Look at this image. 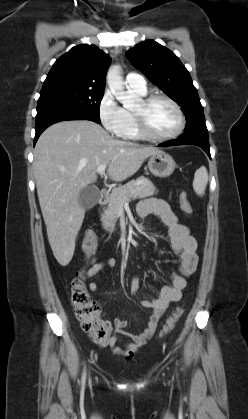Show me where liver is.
<instances>
[{"instance_id": "1", "label": "liver", "mask_w": 248, "mask_h": 419, "mask_svg": "<svg viewBox=\"0 0 248 419\" xmlns=\"http://www.w3.org/2000/svg\"><path fill=\"white\" fill-rule=\"evenodd\" d=\"M158 152L115 139L89 120L59 122L42 133L34 149V176L49 244L60 265L72 260L85 215L80 192L97 180V168L106 164L108 176L121 182Z\"/></svg>"}]
</instances>
